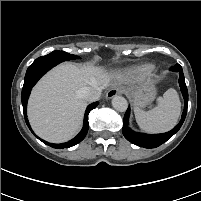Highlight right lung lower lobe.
<instances>
[{
	"instance_id": "right-lung-lower-lobe-1",
	"label": "right lung lower lobe",
	"mask_w": 201,
	"mask_h": 201,
	"mask_svg": "<svg viewBox=\"0 0 201 201\" xmlns=\"http://www.w3.org/2000/svg\"><path fill=\"white\" fill-rule=\"evenodd\" d=\"M63 61H65L63 58H58L57 56L53 57V56L46 55V56H41V57L37 58L28 67L26 75H25L23 89H22V105H23V111H24V115H25V121L29 128H30V125L26 118V107H27V100L29 98L32 87L48 70H50L52 67H54L55 65H57ZM98 104H99L98 102H94L87 107L85 116H84L83 128L75 138H73L72 140H70L68 142L62 143V144H53V143H49L44 140H42V142L49 145L50 147L58 148V149L68 148V147L74 146L77 143L81 142L85 138V136L88 132V127H89L88 114Z\"/></svg>"
}]
</instances>
